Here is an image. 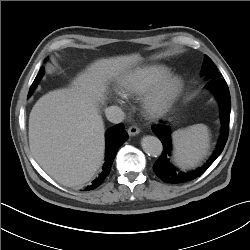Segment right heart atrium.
Masks as SVG:
<instances>
[{
  "instance_id": "obj_1",
  "label": "right heart atrium",
  "mask_w": 250,
  "mask_h": 250,
  "mask_svg": "<svg viewBox=\"0 0 250 250\" xmlns=\"http://www.w3.org/2000/svg\"><path fill=\"white\" fill-rule=\"evenodd\" d=\"M114 99H115L116 101H118V102H121V101H122L121 97H119V96L114 97Z\"/></svg>"
}]
</instances>
